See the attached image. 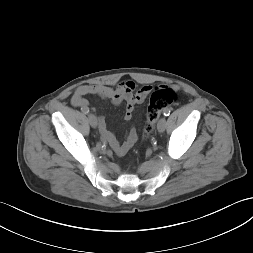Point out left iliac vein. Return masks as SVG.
<instances>
[{
    "label": "left iliac vein",
    "mask_w": 253,
    "mask_h": 253,
    "mask_svg": "<svg viewBox=\"0 0 253 253\" xmlns=\"http://www.w3.org/2000/svg\"><path fill=\"white\" fill-rule=\"evenodd\" d=\"M166 128V119L165 118H161L159 121H158V124H157V129L160 133L164 132Z\"/></svg>",
    "instance_id": "left-iliac-vein-1"
}]
</instances>
